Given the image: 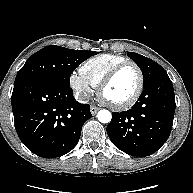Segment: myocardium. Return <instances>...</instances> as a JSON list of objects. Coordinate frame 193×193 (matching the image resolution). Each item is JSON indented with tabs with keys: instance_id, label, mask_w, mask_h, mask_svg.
I'll list each match as a JSON object with an SVG mask.
<instances>
[{
	"instance_id": "myocardium-1",
	"label": "myocardium",
	"mask_w": 193,
	"mask_h": 193,
	"mask_svg": "<svg viewBox=\"0 0 193 193\" xmlns=\"http://www.w3.org/2000/svg\"><path fill=\"white\" fill-rule=\"evenodd\" d=\"M126 67H133L137 71L138 78H139L137 89L134 92V94L128 100H126V101H124L122 103H117V104L111 103V102L107 101L104 98L103 92H104L105 88L115 78V76L120 71L125 69ZM143 88H144V75H143V72H142L141 68L135 62L127 61V62H124V63H121V64L117 65L116 67H114L111 71H109L105 75V77L101 80V82L98 85V96H99V99L105 105L109 106L113 110L121 111V110H125V109H128V108L132 107L137 102V100L139 99V97L142 94Z\"/></svg>"
}]
</instances>
